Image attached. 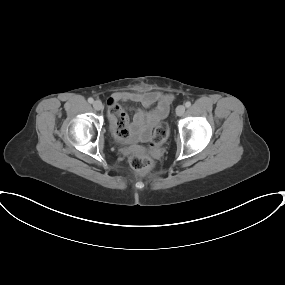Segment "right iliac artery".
Wrapping results in <instances>:
<instances>
[{
  "label": "right iliac artery",
  "mask_w": 285,
  "mask_h": 285,
  "mask_svg": "<svg viewBox=\"0 0 285 285\" xmlns=\"http://www.w3.org/2000/svg\"><path fill=\"white\" fill-rule=\"evenodd\" d=\"M93 101H94L93 98H89L88 99V102L91 103V104L93 103Z\"/></svg>",
  "instance_id": "82829eb1"
}]
</instances>
